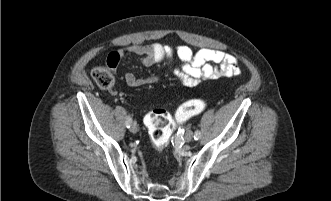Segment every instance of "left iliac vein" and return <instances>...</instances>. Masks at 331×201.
<instances>
[{
  "label": "left iliac vein",
  "mask_w": 331,
  "mask_h": 201,
  "mask_svg": "<svg viewBox=\"0 0 331 201\" xmlns=\"http://www.w3.org/2000/svg\"><path fill=\"white\" fill-rule=\"evenodd\" d=\"M184 139L186 142H190L193 139V132L191 130H187L185 132Z\"/></svg>",
  "instance_id": "left-iliac-vein-1"
}]
</instances>
